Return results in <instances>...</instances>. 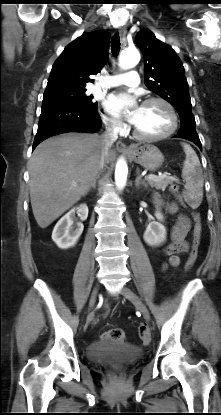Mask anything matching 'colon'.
I'll use <instances>...</instances> for the list:
<instances>
[{"mask_svg":"<svg viewBox=\"0 0 221 415\" xmlns=\"http://www.w3.org/2000/svg\"><path fill=\"white\" fill-rule=\"evenodd\" d=\"M171 190L174 192V196L179 200L180 207L185 208L186 204L184 202V194L180 191V185L177 179H174L170 182ZM193 220H194V231H193V240L192 246L189 252V256L186 262L185 269L186 271H190L195 264L198 255V248L201 242V234H202V223L201 217L197 212L192 213ZM138 335L143 341H148L150 338V333L145 324H140L138 326ZM104 338L110 339L113 341L122 342L125 339V333L120 328H113L109 330L105 335ZM118 375V374H117Z\"/></svg>","mask_w":221,"mask_h":415,"instance_id":"1","label":"colon"}]
</instances>
